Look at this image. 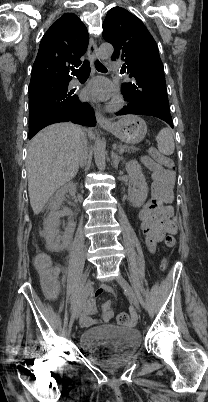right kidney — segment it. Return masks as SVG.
Listing matches in <instances>:
<instances>
[{"instance_id":"right-kidney-1","label":"right kidney","mask_w":208,"mask_h":402,"mask_svg":"<svg viewBox=\"0 0 208 402\" xmlns=\"http://www.w3.org/2000/svg\"><path fill=\"white\" fill-rule=\"evenodd\" d=\"M65 194L75 196L76 184H73V182H67L65 186H62V188L56 192L50 202L51 212L45 220L44 238L54 252L65 250L73 236V232L70 228H65V236H59L57 230L60 218H63V216H71V214H73L72 210H69V208H63V210H61V206L65 200Z\"/></svg>"}]
</instances>
